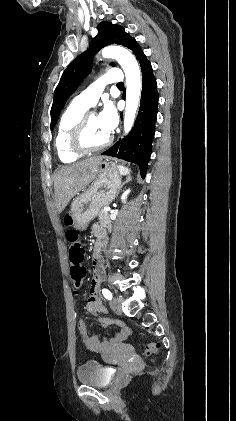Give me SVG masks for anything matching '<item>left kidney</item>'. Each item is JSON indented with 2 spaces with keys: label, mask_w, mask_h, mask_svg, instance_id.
<instances>
[{
  "label": "left kidney",
  "mask_w": 236,
  "mask_h": 421,
  "mask_svg": "<svg viewBox=\"0 0 236 421\" xmlns=\"http://www.w3.org/2000/svg\"><path fill=\"white\" fill-rule=\"evenodd\" d=\"M129 192H130V188H127V190H124V192H123V194L121 196L123 202H126V198H127L128 194H129Z\"/></svg>",
  "instance_id": "obj_1"
}]
</instances>
